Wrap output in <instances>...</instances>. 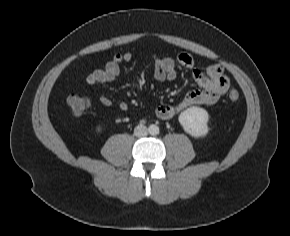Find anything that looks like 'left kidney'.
Here are the masks:
<instances>
[{"label":"left kidney","mask_w":290,"mask_h":236,"mask_svg":"<svg viewBox=\"0 0 290 236\" xmlns=\"http://www.w3.org/2000/svg\"><path fill=\"white\" fill-rule=\"evenodd\" d=\"M178 119L185 132L193 137H204L209 131V114L203 108L190 107L181 112Z\"/></svg>","instance_id":"1"}]
</instances>
